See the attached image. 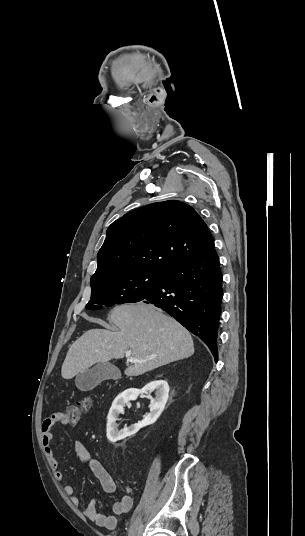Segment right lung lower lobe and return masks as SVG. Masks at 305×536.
I'll use <instances>...</instances> for the list:
<instances>
[{"label": "right lung lower lobe", "instance_id": "98d812e1", "mask_svg": "<svg viewBox=\"0 0 305 536\" xmlns=\"http://www.w3.org/2000/svg\"><path fill=\"white\" fill-rule=\"evenodd\" d=\"M165 273L162 283L139 301L154 304L173 316L204 341L217 361L216 344L223 290L215 248Z\"/></svg>", "mask_w": 305, "mask_h": 536}]
</instances>
